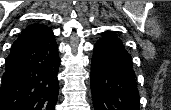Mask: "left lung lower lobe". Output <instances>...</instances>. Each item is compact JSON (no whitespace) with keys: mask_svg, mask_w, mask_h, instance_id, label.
Returning a JSON list of instances; mask_svg holds the SVG:
<instances>
[{"mask_svg":"<svg viewBox=\"0 0 171 110\" xmlns=\"http://www.w3.org/2000/svg\"><path fill=\"white\" fill-rule=\"evenodd\" d=\"M94 46L91 91L95 110H139L132 58L113 31H105Z\"/></svg>","mask_w":171,"mask_h":110,"instance_id":"left-lung-lower-lobe-1","label":"left lung lower lobe"}]
</instances>
